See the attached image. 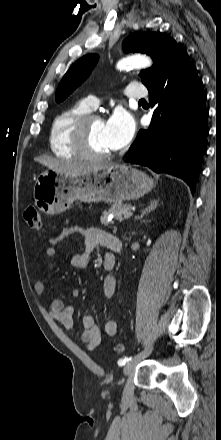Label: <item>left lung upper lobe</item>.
<instances>
[{
    "label": "left lung upper lobe",
    "mask_w": 221,
    "mask_h": 440,
    "mask_svg": "<svg viewBox=\"0 0 221 440\" xmlns=\"http://www.w3.org/2000/svg\"><path fill=\"white\" fill-rule=\"evenodd\" d=\"M180 49L182 48L174 39L162 33H134L123 42L125 53L141 52L151 56L154 65L140 73L142 83L146 87L160 75L171 56ZM97 60L98 56L95 54L86 55L69 68L56 90V102L63 101L89 76Z\"/></svg>",
    "instance_id": "obj_1"
}]
</instances>
